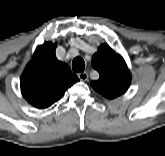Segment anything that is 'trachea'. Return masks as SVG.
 Returning <instances> with one entry per match:
<instances>
[{
	"instance_id": "3493384b",
	"label": "trachea",
	"mask_w": 165,
	"mask_h": 156,
	"mask_svg": "<svg viewBox=\"0 0 165 156\" xmlns=\"http://www.w3.org/2000/svg\"><path fill=\"white\" fill-rule=\"evenodd\" d=\"M72 69L74 72H84L85 69V62L83 58L76 57L72 62Z\"/></svg>"
}]
</instances>
